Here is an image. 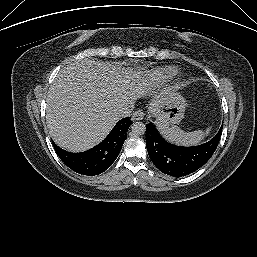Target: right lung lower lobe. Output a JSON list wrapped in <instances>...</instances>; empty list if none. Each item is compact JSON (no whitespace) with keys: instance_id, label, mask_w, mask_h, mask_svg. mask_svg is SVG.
Listing matches in <instances>:
<instances>
[{"instance_id":"right-lung-lower-lobe-1","label":"right lung lower lobe","mask_w":257,"mask_h":257,"mask_svg":"<svg viewBox=\"0 0 257 257\" xmlns=\"http://www.w3.org/2000/svg\"><path fill=\"white\" fill-rule=\"evenodd\" d=\"M130 118L118 121L108 136L97 146L80 153H71L53 146L60 159L73 171L83 175H97L108 169L119 155L131 125Z\"/></svg>"}]
</instances>
